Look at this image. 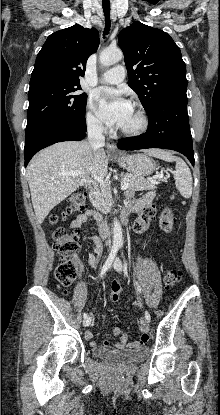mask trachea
I'll return each mask as SVG.
<instances>
[{
	"label": "trachea",
	"instance_id": "obj_1",
	"mask_svg": "<svg viewBox=\"0 0 220 415\" xmlns=\"http://www.w3.org/2000/svg\"><path fill=\"white\" fill-rule=\"evenodd\" d=\"M103 11L106 19L103 35L109 34L111 21H110V4H103Z\"/></svg>",
	"mask_w": 220,
	"mask_h": 415
}]
</instances>
